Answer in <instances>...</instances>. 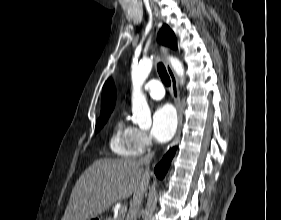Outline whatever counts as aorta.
I'll list each match as a JSON object with an SVG mask.
<instances>
[{
    "label": "aorta",
    "instance_id": "aorta-1",
    "mask_svg": "<svg viewBox=\"0 0 281 220\" xmlns=\"http://www.w3.org/2000/svg\"><path fill=\"white\" fill-rule=\"evenodd\" d=\"M169 61L177 74L183 79L184 67L179 59L169 57ZM153 66L152 58H145L138 64L134 65L131 72L132 78V120L133 123L138 124L140 127H150L151 113L146 101V97L142 92V86L147 79ZM183 82V80H182Z\"/></svg>",
    "mask_w": 281,
    "mask_h": 220
}]
</instances>
